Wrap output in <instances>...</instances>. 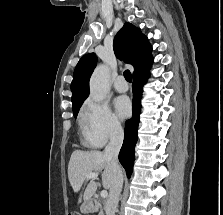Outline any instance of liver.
Returning <instances> with one entry per match:
<instances>
[{
  "mask_svg": "<svg viewBox=\"0 0 223 215\" xmlns=\"http://www.w3.org/2000/svg\"><path fill=\"white\" fill-rule=\"evenodd\" d=\"M99 171H102L103 187H111L113 179L111 163L110 159L105 157L103 151H80V149L73 151L68 163V177L74 191H79L85 179H89L87 177L88 173H99ZM98 185H100L98 181H89L83 199H90Z\"/></svg>",
  "mask_w": 223,
  "mask_h": 215,
  "instance_id": "obj_1",
  "label": "liver"
}]
</instances>
